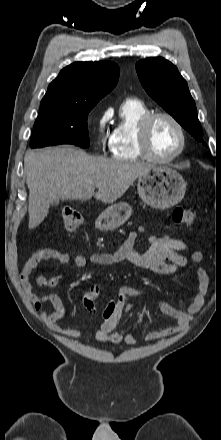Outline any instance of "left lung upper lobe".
I'll return each mask as SVG.
<instances>
[{"label":"left lung upper lobe","mask_w":221,"mask_h":440,"mask_svg":"<svg viewBox=\"0 0 221 440\" xmlns=\"http://www.w3.org/2000/svg\"><path fill=\"white\" fill-rule=\"evenodd\" d=\"M136 71L146 92L192 136L204 143L195 102L176 66L162 57L147 58L137 62Z\"/></svg>","instance_id":"5c2ea615"}]
</instances>
